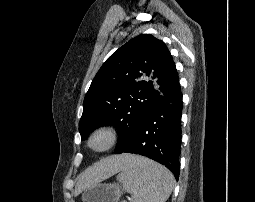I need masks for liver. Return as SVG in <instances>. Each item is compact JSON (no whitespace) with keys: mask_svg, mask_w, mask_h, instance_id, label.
<instances>
[{"mask_svg":"<svg viewBox=\"0 0 255 202\" xmlns=\"http://www.w3.org/2000/svg\"><path fill=\"white\" fill-rule=\"evenodd\" d=\"M132 157L133 155L129 154L114 155L90 166L79 175L75 193L78 194L90 185L98 183L114 173L119 172Z\"/></svg>","mask_w":255,"mask_h":202,"instance_id":"6515ba94","label":"liver"}]
</instances>
